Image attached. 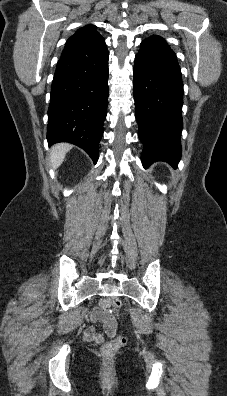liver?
I'll return each instance as SVG.
<instances>
[{
	"mask_svg": "<svg viewBox=\"0 0 227 396\" xmlns=\"http://www.w3.org/2000/svg\"><path fill=\"white\" fill-rule=\"evenodd\" d=\"M71 148H72V145L68 144V143H61V144H57L52 147V149H51V166L54 169L58 168L62 164L66 153Z\"/></svg>",
	"mask_w": 227,
	"mask_h": 396,
	"instance_id": "6515ba94",
	"label": "liver"
}]
</instances>
